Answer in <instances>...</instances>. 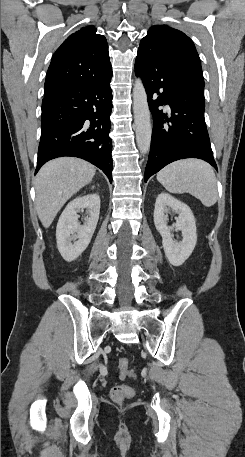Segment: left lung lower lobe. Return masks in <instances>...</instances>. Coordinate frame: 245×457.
<instances>
[{
    "label": "left lung lower lobe",
    "instance_id": "0a47b994",
    "mask_svg": "<svg viewBox=\"0 0 245 457\" xmlns=\"http://www.w3.org/2000/svg\"><path fill=\"white\" fill-rule=\"evenodd\" d=\"M135 73L142 78L154 120L145 182L167 164L185 158L205 160L217 169L204 119V97L191 91L164 57L137 53ZM162 105L170 106V116L158 109Z\"/></svg>",
    "mask_w": 245,
    "mask_h": 457
}]
</instances>
